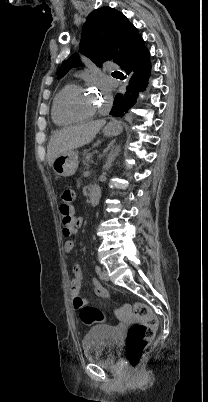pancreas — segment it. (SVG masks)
I'll use <instances>...</instances> for the list:
<instances>
[{"label":"pancreas","mask_w":208,"mask_h":402,"mask_svg":"<svg viewBox=\"0 0 208 402\" xmlns=\"http://www.w3.org/2000/svg\"><path fill=\"white\" fill-rule=\"evenodd\" d=\"M90 158H92V154H87V156H85L84 166H86V168L89 166Z\"/></svg>","instance_id":"cf45deb5"}]
</instances>
